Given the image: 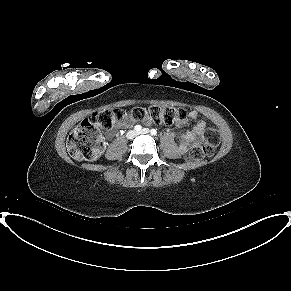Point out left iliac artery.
Instances as JSON below:
<instances>
[{
    "mask_svg": "<svg viewBox=\"0 0 291 291\" xmlns=\"http://www.w3.org/2000/svg\"><path fill=\"white\" fill-rule=\"evenodd\" d=\"M151 134L152 135H156L157 134V131L155 129H151Z\"/></svg>",
    "mask_w": 291,
    "mask_h": 291,
    "instance_id": "left-iliac-artery-1",
    "label": "left iliac artery"
}]
</instances>
